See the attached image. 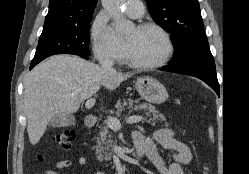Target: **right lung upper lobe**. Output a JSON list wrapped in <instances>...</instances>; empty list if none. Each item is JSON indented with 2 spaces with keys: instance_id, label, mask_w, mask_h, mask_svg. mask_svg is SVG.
Listing matches in <instances>:
<instances>
[{
  "instance_id": "cb5924a9",
  "label": "right lung upper lobe",
  "mask_w": 249,
  "mask_h": 174,
  "mask_svg": "<svg viewBox=\"0 0 249 174\" xmlns=\"http://www.w3.org/2000/svg\"><path fill=\"white\" fill-rule=\"evenodd\" d=\"M98 0H50L43 30L79 24L92 19Z\"/></svg>"
}]
</instances>
